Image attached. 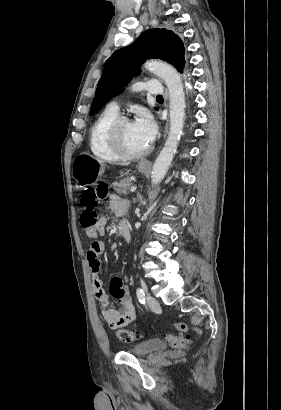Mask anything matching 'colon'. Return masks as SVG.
<instances>
[{"mask_svg":"<svg viewBox=\"0 0 281 410\" xmlns=\"http://www.w3.org/2000/svg\"><path fill=\"white\" fill-rule=\"evenodd\" d=\"M108 194V188L105 183L99 184L96 188H89L83 191L81 195V205L83 211L80 218V224L90 237L97 235L98 223V205ZM174 329L180 334L175 335L171 332L162 331L161 334L169 345L173 348H186L191 344V336L187 333L190 329L185 322H178L174 325ZM196 332H200L198 328H192ZM119 339L122 342L129 343L138 340L142 334L138 331H129L121 329L117 332Z\"/></svg>","mask_w":281,"mask_h":410,"instance_id":"colon-1","label":"colon"}]
</instances>
